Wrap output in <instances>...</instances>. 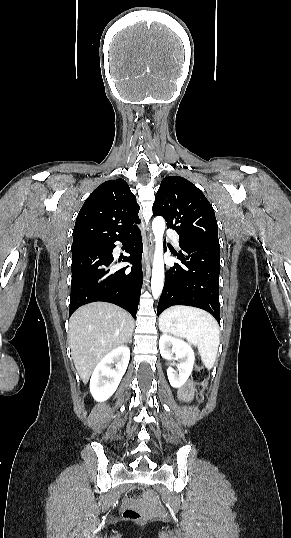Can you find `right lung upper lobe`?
Wrapping results in <instances>:
<instances>
[{"mask_svg": "<svg viewBox=\"0 0 291 538\" xmlns=\"http://www.w3.org/2000/svg\"><path fill=\"white\" fill-rule=\"evenodd\" d=\"M140 206L123 179L109 180L85 200L76 218L72 250L101 247L138 227Z\"/></svg>", "mask_w": 291, "mask_h": 538, "instance_id": "right-lung-upper-lobe-1", "label": "right lung upper lobe"}]
</instances>
